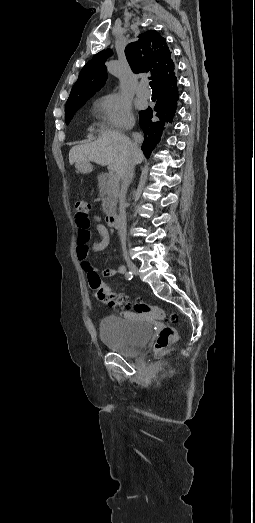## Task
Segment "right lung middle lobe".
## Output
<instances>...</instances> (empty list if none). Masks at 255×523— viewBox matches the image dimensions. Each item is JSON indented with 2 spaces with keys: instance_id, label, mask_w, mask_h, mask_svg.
<instances>
[{
  "instance_id": "dd1d6c3e",
  "label": "right lung middle lobe",
  "mask_w": 255,
  "mask_h": 523,
  "mask_svg": "<svg viewBox=\"0 0 255 523\" xmlns=\"http://www.w3.org/2000/svg\"><path fill=\"white\" fill-rule=\"evenodd\" d=\"M85 102H79V103H66V107H65V121H66V124H69V122L71 121V119L73 118L75 112L81 108V106L84 104Z\"/></svg>"
}]
</instances>
